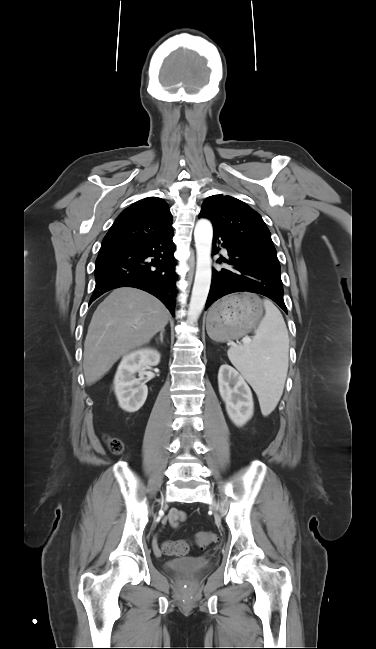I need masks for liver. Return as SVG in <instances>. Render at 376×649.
<instances>
[{"instance_id": "6515ba94", "label": "liver", "mask_w": 376, "mask_h": 649, "mask_svg": "<svg viewBox=\"0 0 376 649\" xmlns=\"http://www.w3.org/2000/svg\"><path fill=\"white\" fill-rule=\"evenodd\" d=\"M168 319L169 311L153 295L134 287L113 290L88 327L83 354L86 384L99 381L122 355L148 343Z\"/></svg>"}]
</instances>
